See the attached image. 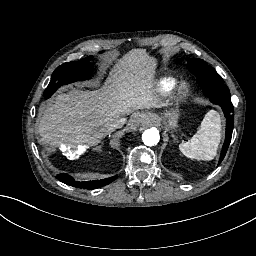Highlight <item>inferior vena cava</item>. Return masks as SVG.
<instances>
[{
  "instance_id": "602c4592",
  "label": "inferior vena cava",
  "mask_w": 256,
  "mask_h": 256,
  "mask_svg": "<svg viewBox=\"0 0 256 256\" xmlns=\"http://www.w3.org/2000/svg\"><path fill=\"white\" fill-rule=\"evenodd\" d=\"M125 121V118L118 117L114 121L108 123L107 127L109 130H114L115 128L121 127Z\"/></svg>"
}]
</instances>
